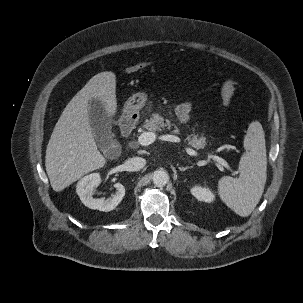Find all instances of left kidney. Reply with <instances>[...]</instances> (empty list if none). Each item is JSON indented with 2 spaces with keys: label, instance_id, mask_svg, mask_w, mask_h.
I'll return each mask as SVG.
<instances>
[{
  "label": "left kidney",
  "instance_id": "1",
  "mask_svg": "<svg viewBox=\"0 0 303 303\" xmlns=\"http://www.w3.org/2000/svg\"><path fill=\"white\" fill-rule=\"evenodd\" d=\"M191 193L199 201L210 203L213 202L215 199V195L207 187H201L199 185H196L191 188Z\"/></svg>",
  "mask_w": 303,
  "mask_h": 303
}]
</instances>
